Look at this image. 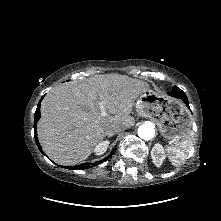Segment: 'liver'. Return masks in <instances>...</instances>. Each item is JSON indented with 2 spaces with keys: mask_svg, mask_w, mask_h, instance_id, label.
I'll return each mask as SVG.
<instances>
[{
  "mask_svg": "<svg viewBox=\"0 0 221 221\" xmlns=\"http://www.w3.org/2000/svg\"><path fill=\"white\" fill-rule=\"evenodd\" d=\"M148 88L147 83L121 74L96 75L54 87L41 103L37 124L43 150L62 165L85 160L107 135L106 126L134 125L129 116L134 101ZM98 101L104 102L108 115H101Z\"/></svg>",
  "mask_w": 221,
  "mask_h": 221,
  "instance_id": "6515ba94",
  "label": "liver"
}]
</instances>
